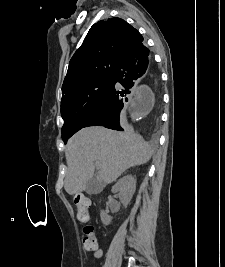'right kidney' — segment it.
<instances>
[{
    "label": "right kidney",
    "instance_id": "right-kidney-1",
    "mask_svg": "<svg viewBox=\"0 0 225 267\" xmlns=\"http://www.w3.org/2000/svg\"><path fill=\"white\" fill-rule=\"evenodd\" d=\"M136 190V180L132 175H126L119 179L112 186V193H118L121 203L124 207L130 203L132 196ZM101 221L104 225H109L112 217L109 216L106 212L101 211Z\"/></svg>",
    "mask_w": 225,
    "mask_h": 267
}]
</instances>
